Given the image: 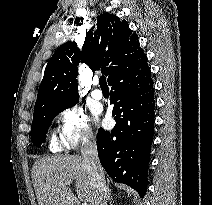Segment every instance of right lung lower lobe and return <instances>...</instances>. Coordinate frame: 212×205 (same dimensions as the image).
Instances as JSON below:
<instances>
[{"mask_svg": "<svg viewBox=\"0 0 212 205\" xmlns=\"http://www.w3.org/2000/svg\"><path fill=\"white\" fill-rule=\"evenodd\" d=\"M116 126L99 129L97 150L110 177L135 189H147L150 147L153 141L155 97L146 55L118 70L108 81Z\"/></svg>", "mask_w": 212, "mask_h": 205, "instance_id": "obj_1", "label": "right lung lower lobe"}]
</instances>
